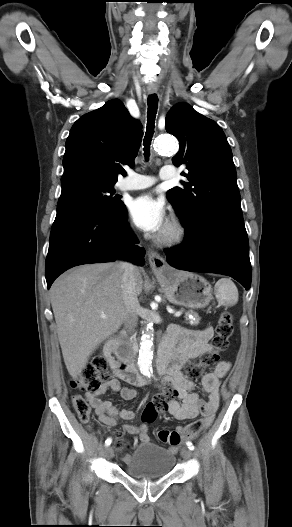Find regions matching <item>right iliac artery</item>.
<instances>
[{
    "mask_svg": "<svg viewBox=\"0 0 292 527\" xmlns=\"http://www.w3.org/2000/svg\"><path fill=\"white\" fill-rule=\"evenodd\" d=\"M112 442V439L111 438H107L106 441H105V446H109Z\"/></svg>",
    "mask_w": 292,
    "mask_h": 527,
    "instance_id": "obj_1",
    "label": "right iliac artery"
}]
</instances>
